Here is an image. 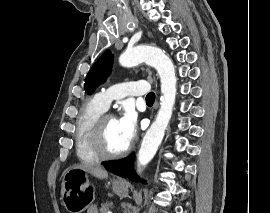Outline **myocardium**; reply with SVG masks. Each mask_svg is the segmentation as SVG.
Masks as SVG:
<instances>
[{
  "label": "myocardium",
  "instance_id": "f54148a6",
  "mask_svg": "<svg viewBox=\"0 0 270 213\" xmlns=\"http://www.w3.org/2000/svg\"><path fill=\"white\" fill-rule=\"evenodd\" d=\"M113 117L109 114H101L95 120L90 131V144L96 155L102 160H116L124 157L130 147L127 146L124 150L116 153L109 152L104 143L105 123L106 120Z\"/></svg>",
  "mask_w": 270,
  "mask_h": 213
}]
</instances>
